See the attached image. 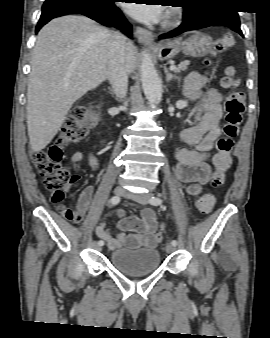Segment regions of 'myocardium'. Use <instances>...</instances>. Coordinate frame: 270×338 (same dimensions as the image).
Returning <instances> with one entry per match:
<instances>
[{"instance_id": "f54148a6", "label": "myocardium", "mask_w": 270, "mask_h": 338, "mask_svg": "<svg viewBox=\"0 0 270 338\" xmlns=\"http://www.w3.org/2000/svg\"><path fill=\"white\" fill-rule=\"evenodd\" d=\"M182 16L183 13L180 8L175 6L170 7L164 21L162 22V27L167 29L178 25L180 20L182 19Z\"/></svg>"}]
</instances>
